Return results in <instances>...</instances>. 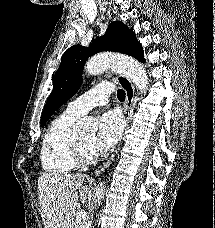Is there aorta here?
<instances>
[{
	"label": "aorta",
	"instance_id": "aorta-1",
	"mask_svg": "<svg viewBox=\"0 0 215 228\" xmlns=\"http://www.w3.org/2000/svg\"><path fill=\"white\" fill-rule=\"evenodd\" d=\"M114 66L115 68H121L124 74L132 80L139 92L145 94L148 86L147 74L143 66H141L139 62H136V60H132V58H119V56H113V54H98V56L86 62L85 70L90 76H96V74H101L104 70L114 68ZM83 126H86V120H83L76 128L82 130ZM105 188V182H101L96 190L95 202L98 206L102 204V200L105 196Z\"/></svg>",
	"mask_w": 215,
	"mask_h": 228
}]
</instances>
